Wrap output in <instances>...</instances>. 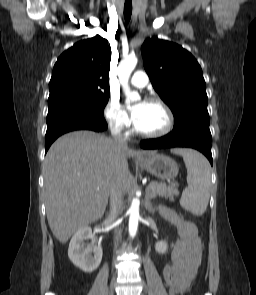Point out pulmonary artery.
<instances>
[{
  "mask_svg": "<svg viewBox=\"0 0 256 295\" xmlns=\"http://www.w3.org/2000/svg\"><path fill=\"white\" fill-rule=\"evenodd\" d=\"M130 83L137 88H143L149 83V78L145 72L137 70L131 77Z\"/></svg>",
  "mask_w": 256,
  "mask_h": 295,
  "instance_id": "obj_1",
  "label": "pulmonary artery"
}]
</instances>
